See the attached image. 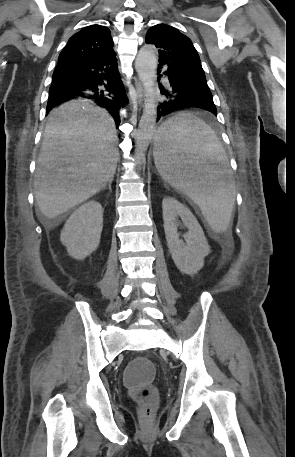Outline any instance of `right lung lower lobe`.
<instances>
[{"label": "right lung lower lobe", "instance_id": "98d812e1", "mask_svg": "<svg viewBox=\"0 0 295 457\" xmlns=\"http://www.w3.org/2000/svg\"><path fill=\"white\" fill-rule=\"evenodd\" d=\"M83 97L96 101L120 124L119 111L127 97L114 50L89 61L58 64L49 89L47 114L59 103Z\"/></svg>", "mask_w": 295, "mask_h": 457}]
</instances>
